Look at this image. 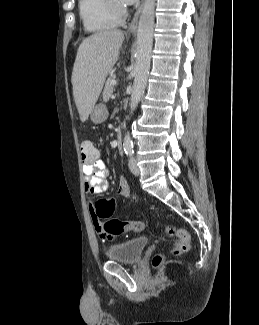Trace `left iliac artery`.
<instances>
[{"label":"left iliac artery","instance_id":"1","mask_svg":"<svg viewBox=\"0 0 259 325\" xmlns=\"http://www.w3.org/2000/svg\"><path fill=\"white\" fill-rule=\"evenodd\" d=\"M124 151L127 156H132L134 154L132 141H126L124 144Z\"/></svg>","mask_w":259,"mask_h":325}]
</instances>
